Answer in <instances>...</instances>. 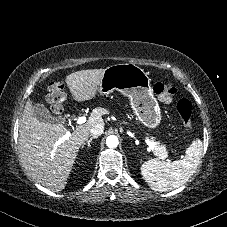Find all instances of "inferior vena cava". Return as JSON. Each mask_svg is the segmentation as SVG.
Instances as JSON below:
<instances>
[{
  "label": "inferior vena cava",
  "mask_w": 227,
  "mask_h": 227,
  "mask_svg": "<svg viewBox=\"0 0 227 227\" xmlns=\"http://www.w3.org/2000/svg\"><path fill=\"white\" fill-rule=\"evenodd\" d=\"M104 132V125L103 124H95L94 126L91 127L90 133L93 136H100Z\"/></svg>",
  "instance_id": "inferior-vena-cava-1"
}]
</instances>
